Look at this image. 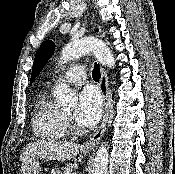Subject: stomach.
<instances>
[{
	"label": "stomach",
	"instance_id": "obj_1",
	"mask_svg": "<svg viewBox=\"0 0 175 174\" xmlns=\"http://www.w3.org/2000/svg\"><path fill=\"white\" fill-rule=\"evenodd\" d=\"M59 173V172H57ZM21 174H40V163L38 160L28 161L22 164ZM60 174V173H59Z\"/></svg>",
	"mask_w": 175,
	"mask_h": 174
}]
</instances>
